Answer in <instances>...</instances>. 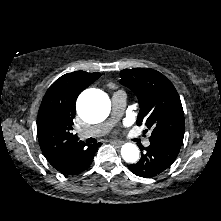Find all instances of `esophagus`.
<instances>
[{"label": "esophagus", "mask_w": 221, "mask_h": 221, "mask_svg": "<svg viewBox=\"0 0 221 221\" xmlns=\"http://www.w3.org/2000/svg\"><path fill=\"white\" fill-rule=\"evenodd\" d=\"M111 143H112V144H115V145H117V146H120V145L123 144V141H116V140H114V141H111Z\"/></svg>", "instance_id": "34e87169"}]
</instances>
